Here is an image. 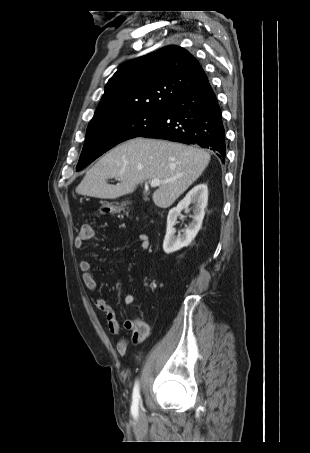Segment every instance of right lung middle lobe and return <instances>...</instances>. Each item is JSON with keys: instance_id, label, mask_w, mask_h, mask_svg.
<instances>
[{"instance_id": "obj_1", "label": "right lung middle lobe", "mask_w": 310, "mask_h": 453, "mask_svg": "<svg viewBox=\"0 0 310 453\" xmlns=\"http://www.w3.org/2000/svg\"><path fill=\"white\" fill-rule=\"evenodd\" d=\"M163 110L107 115L89 123L76 170L80 171L115 145L140 136L162 117Z\"/></svg>"}]
</instances>
